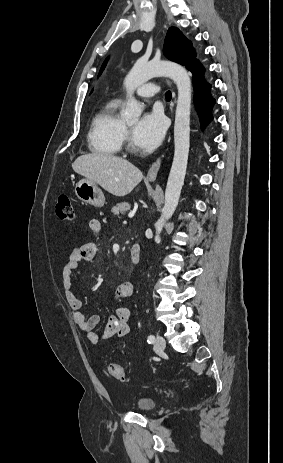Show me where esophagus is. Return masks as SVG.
Segmentation results:
<instances>
[{"instance_id": "esophagus-1", "label": "esophagus", "mask_w": 283, "mask_h": 463, "mask_svg": "<svg viewBox=\"0 0 283 463\" xmlns=\"http://www.w3.org/2000/svg\"><path fill=\"white\" fill-rule=\"evenodd\" d=\"M163 154H161L157 159L156 161L152 164L151 168L149 169L148 173H147V180L149 181H154L157 177V174H158V171H159V168H160V165H161V161H162V158H163Z\"/></svg>"}]
</instances>
